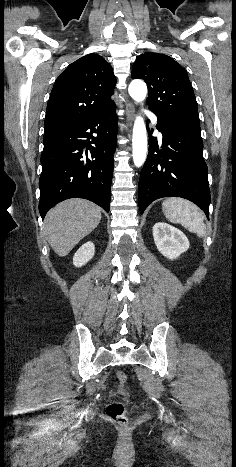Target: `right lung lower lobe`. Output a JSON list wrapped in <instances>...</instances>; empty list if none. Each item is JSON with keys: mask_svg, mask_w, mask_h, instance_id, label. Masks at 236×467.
Here are the masks:
<instances>
[{"mask_svg": "<svg viewBox=\"0 0 236 467\" xmlns=\"http://www.w3.org/2000/svg\"><path fill=\"white\" fill-rule=\"evenodd\" d=\"M117 132L114 105L83 123L44 134L39 180L42 218L55 204L75 197L109 212Z\"/></svg>", "mask_w": 236, "mask_h": 467, "instance_id": "obj_1", "label": "right lung lower lobe"}]
</instances>
